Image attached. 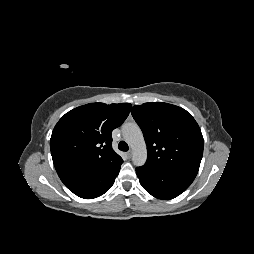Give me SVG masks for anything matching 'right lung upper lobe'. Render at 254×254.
Here are the masks:
<instances>
[{"mask_svg":"<svg viewBox=\"0 0 254 254\" xmlns=\"http://www.w3.org/2000/svg\"><path fill=\"white\" fill-rule=\"evenodd\" d=\"M130 103H90L66 113L56 124L50 149L59 177L122 162L112 149V131L129 115Z\"/></svg>","mask_w":254,"mask_h":254,"instance_id":"1","label":"right lung upper lobe"}]
</instances>
